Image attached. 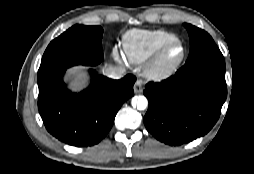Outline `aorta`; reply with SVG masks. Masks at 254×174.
<instances>
[{"label":"aorta","instance_id":"1","mask_svg":"<svg viewBox=\"0 0 254 174\" xmlns=\"http://www.w3.org/2000/svg\"><path fill=\"white\" fill-rule=\"evenodd\" d=\"M132 105L138 110H145L148 106V100L145 96H136L132 99Z\"/></svg>","mask_w":254,"mask_h":174}]
</instances>
